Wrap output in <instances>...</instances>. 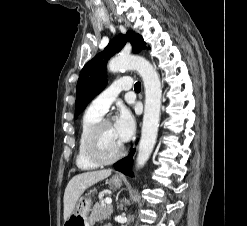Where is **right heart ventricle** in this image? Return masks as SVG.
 Here are the masks:
<instances>
[{"label":"right heart ventricle","instance_id":"e07e8e85","mask_svg":"<svg viewBox=\"0 0 247 226\" xmlns=\"http://www.w3.org/2000/svg\"><path fill=\"white\" fill-rule=\"evenodd\" d=\"M101 119L102 116L92 111L90 108H88L83 115L76 148V165L81 170H91L98 166L97 164L89 160L86 156L84 142L88 132Z\"/></svg>","mask_w":247,"mask_h":226}]
</instances>
